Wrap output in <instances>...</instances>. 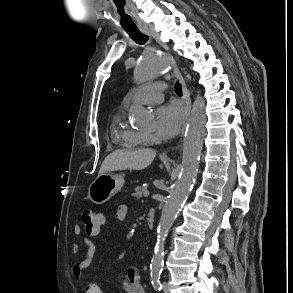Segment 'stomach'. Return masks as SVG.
<instances>
[{
    "mask_svg": "<svg viewBox=\"0 0 293 293\" xmlns=\"http://www.w3.org/2000/svg\"><path fill=\"white\" fill-rule=\"evenodd\" d=\"M125 181L122 175L106 173L98 176L88 190L89 199L97 205L107 202L118 193Z\"/></svg>",
    "mask_w": 293,
    "mask_h": 293,
    "instance_id": "1",
    "label": "stomach"
}]
</instances>
